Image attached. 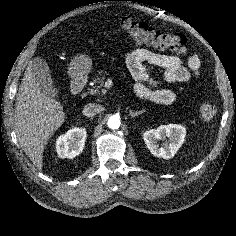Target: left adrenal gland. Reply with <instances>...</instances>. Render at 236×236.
<instances>
[{
    "instance_id": "obj_1",
    "label": "left adrenal gland",
    "mask_w": 236,
    "mask_h": 236,
    "mask_svg": "<svg viewBox=\"0 0 236 236\" xmlns=\"http://www.w3.org/2000/svg\"><path fill=\"white\" fill-rule=\"evenodd\" d=\"M143 112H145V110H140V111H136V112H133L132 110L130 111L129 115L134 118L138 115H141Z\"/></svg>"
}]
</instances>
